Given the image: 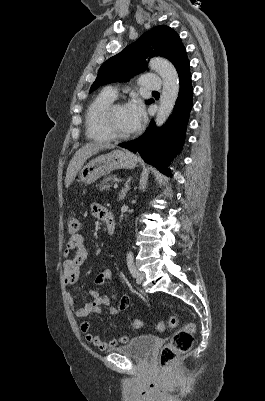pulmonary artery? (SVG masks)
I'll list each match as a JSON object with an SVG mask.
<instances>
[{
  "mask_svg": "<svg viewBox=\"0 0 265 401\" xmlns=\"http://www.w3.org/2000/svg\"><path fill=\"white\" fill-rule=\"evenodd\" d=\"M143 79L145 81V88L147 90H161L163 87V77L162 75H149L143 74ZM110 93L114 96L117 95L116 89H110Z\"/></svg>",
  "mask_w": 265,
  "mask_h": 401,
  "instance_id": "obj_1",
  "label": "pulmonary artery"
}]
</instances>
